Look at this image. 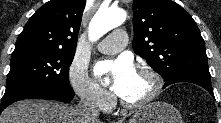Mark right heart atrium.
<instances>
[{
  "mask_svg": "<svg viewBox=\"0 0 221 123\" xmlns=\"http://www.w3.org/2000/svg\"><path fill=\"white\" fill-rule=\"evenodd\" d=\"M69 80L74 92L84 103L103 111L112 107V95L98 87L88 76L85 67L80 63L73 62L70 66Z\"/></svg>",
  "mask_w": 221,
  "mask_h": 123,
  "instance_id": "1",
  "label": "right heart atrium"
}]
</instances>
